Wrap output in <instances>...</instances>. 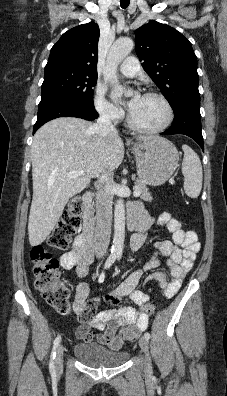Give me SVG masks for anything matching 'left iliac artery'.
Segmentation results:
<instances>
[{"label":"left iliac artery","instance_id":"44dca946","mask_svg":"<svg viewBox=\"0 0 227 396\" xmlns=\"http://www.w3.org/2000/svg\"><path fill=\"white\" fill-rule=\"evenodd\" d=\"M117 258L120 259V258H121V254H118V255H117ZM144 337L147 338V339H150V334H149L148 332H146V333L144 334Z\"/></svg>","mask_w":227,"mask_h":396}]
</instances>
